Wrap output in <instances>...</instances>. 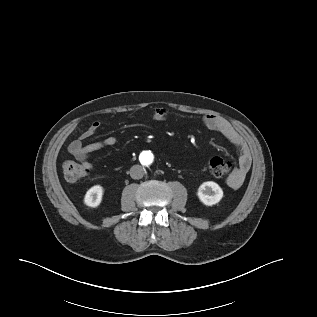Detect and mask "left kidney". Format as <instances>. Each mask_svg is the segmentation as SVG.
<instances>
[{
  "label": "left kidney",
  "mask_w": 317,
  "mask_h": 317,
  "mask_svg": "<svg viewBox=\"0 0 317 317\" xmlns=\"http://www.w3.org/2000/svg\"><path fill=\"white\" fill-rule=\"evenodd\" d=\"M197 195L204 205L212 206L222 199L223 191L217 183L207 181L200 185Z\"/></svg>",
  "instance_id": "5707ae66"
}]
</instances>
